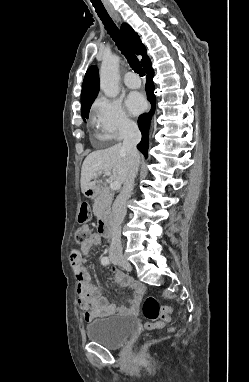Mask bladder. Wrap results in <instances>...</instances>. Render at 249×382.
<instances>
[{
	"mask_svg": "<svg viewBox=\"0 0 249 382\" xmlns=\"http://www.w3.org/2000/svg\"><path fill=\"white\" fill-rule=\"evenodd\" d=\"M136 324V318L129 315L109 316L93 320L85 328V334L91 342L116 349L128 340Z\"/></svg>",
	"mask_w": 249,
	"mask_h": 382,
	"instance_id": "obj_1",
	"label": "bladder"
}]
</instances>
